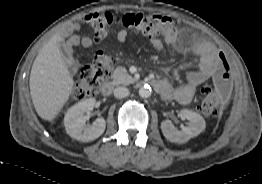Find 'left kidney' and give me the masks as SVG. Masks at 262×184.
Returning <instances> with one entry per match:
<instances>
[{
  "mask_svg": "<svg viewBox=\"0 0 262 184\" xmlns=\"http://www.w3.org/2000/svg\"><path fill=\"white\" fill-rule=\"evenodd\" d=\"M180 117L189 121V125L181 130L176 129L170 120H165L161 123L162 133L170 142L185 143L205 130L206 123L200 114L189 109H182Z\"/></svg>",
  "mask_w": 262,
  "mask_h": 184,
  "instance_id": "5707ae66",
  "label": "left kidney"
}]
</instances>
